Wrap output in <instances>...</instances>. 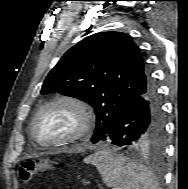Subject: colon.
<instances>
[{"instance_id":"colon-1","label":"colon","mask_w":188,"mask_h":189,"mask_svg":"<svg viewBox=\"0 0 188 189\" xmlns=\"http://www.w3.org/2000/svg\"><path fill=\"white\" fill-rule=\"evenodd\" d=\"M50 168L51 164L47 160H24L18 170L19 179L22 183L29 184L36 174L46 172Z\"/></svg>"}]
</instances>
